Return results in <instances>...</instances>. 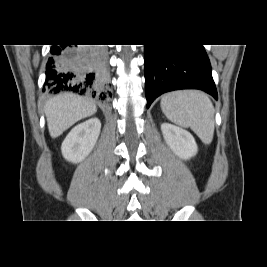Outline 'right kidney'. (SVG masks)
<instances>
[{
	"mask_svg": "<svg viewBox=\"0 0 267 267\" xmlns=\"http://www.w3.org/2000/svg\"><path fill=\"white\" fill-rule=\"evenodd\" d=\"M101 122L91 118L75 126L62 143L63 157L69 162L79 163L92 151L99 137Z\"/></svg>",
	"mask_w": 267,
	"mask_h": 267,
	"instance_id": "1",
	"label": "right kidney"
}]
</instances>
